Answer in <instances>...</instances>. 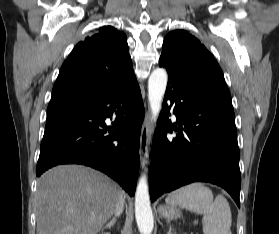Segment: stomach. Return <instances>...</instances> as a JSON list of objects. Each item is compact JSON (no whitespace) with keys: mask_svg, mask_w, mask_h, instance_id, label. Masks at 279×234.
I'll return each instance as SVG.
<instances>
[{"mask_svg":"<svg viewBox=\"0 0 279 234\" xmlns=\"http://www.w3.org/2000/svg\"><path fill=\"white\" fill-rule=\"evenodd\" d=\"M159 213L167 220L175 219L180 216V210L172 204L160 206Z\"/></svg>","mask_w":279,"mask_h":234,"instance_id":"1","label":"stomach"}]
</instances>
